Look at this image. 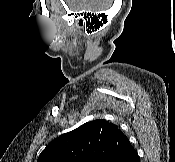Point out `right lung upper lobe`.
<instances>
[{"label":"right lung upper lobe","mask_w":175,"mask_h":162,"mask_svg":"<svg viewBox=\"0 0 175 162\" xmlns=\"http://www.w3.org/2000/svg\"><path fill=\"white\" fill-rule=\"evenodd\" d=\"M132 148L117 125L97 119L53 140L37 162H112Z\"/></svg>","instance_id":"1"}]
</instances>
